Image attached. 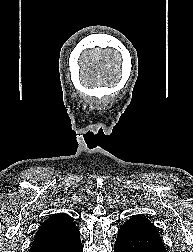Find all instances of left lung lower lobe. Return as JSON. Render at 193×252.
Wrapping results in <instances>:
<instances>
[{
    "label": "left lung lower lobe",
    "mask_w": 193,
    "mask_h": 252,
    "mask_svg": "<svg viewBox=\"0 0 193 252\" xmlns=\"http://www.w3.org/2000/svg\"><path fill=\"white\" fill-rule=\"evenodd\" d=\"M114 252H167L155 227L148 225L122 226Z\"/></svg>",
    "instance_id": "1"
}]
</instances>
